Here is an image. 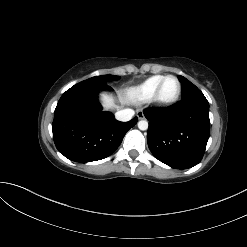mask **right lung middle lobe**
<instances>
[{"mask_svg":"<svg viewBox=\"0 0 247 247\" xmlns=\"http://www.w3.org/2000/svg\"><path fill=\"white\" fill-rule=\"evenodd\" d=\"M118 78L119 77L115 76V75H101V76H96V77L90 78L88 80H85L84 82L99 83L101 81L116 80Z\"/></svg>","mask_w":247,"mask_h":247,"instance_id":"dd1d6c3e","label":"right lung middle lobe"}]
</instances>
